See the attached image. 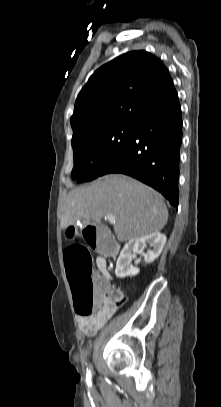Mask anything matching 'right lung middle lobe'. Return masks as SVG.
<instances>
[{"mask_svg":"<svg viewBox=\"0 0 221 407\" xmlns=\"http://www.w3.org/2000/svg\"><path fill=\"white\" fill-rule=\"evenodd\" d=\"M134 130L135 124L112 126L72 143V178L77 182H87L101 176L105 168L129 143Z\"/></svg>","mask_w":221,"mask_h":407,"instance_id":"dd1d6c3e","label":"right lung middle lobe"}]
</instances>
